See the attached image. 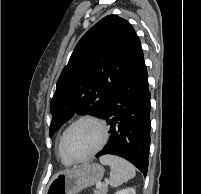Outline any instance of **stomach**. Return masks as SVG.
Here are the masks:
<instances>
[{
  "instance_id": "stomach-1",
  "label": "stomach",
  "mask_w": 201,
  "mask_h": 194,
  "mask_svg": "<svg viewBox=\"0 0 201 194\" xmlns=\"http://www.w3.org/2000/svg\"><path fill=\"white\" fill-rule=\"evenodd\" d=\"M103 175V167L94 163L59 173L49 183L47 194H77L99 182Z\"/></svg>"
}]
</instances>
